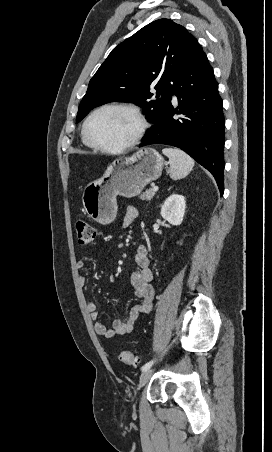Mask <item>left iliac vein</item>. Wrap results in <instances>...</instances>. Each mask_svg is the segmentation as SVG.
<instances>
[{
	"label": "left iliac vein",
	"instance_id": "4c4485c4",
	"mask_svg": "<svg viewBox=\"0 0 272 452\" xmlns=\"http://www.w3.org/2000/svg\"><path fill=\"white\" fill-rule=\"evenodd\" d=\"M152 373H153L152 368H149L146 371L142 372V374L140 375V379H139V387L140 388L143 387L148 382Z\"/></svg>",
	"mask_w": 272,
	"mask_h": 452
}]
</instances>
